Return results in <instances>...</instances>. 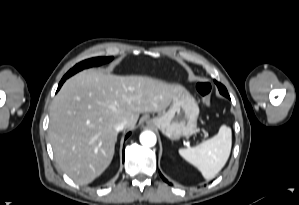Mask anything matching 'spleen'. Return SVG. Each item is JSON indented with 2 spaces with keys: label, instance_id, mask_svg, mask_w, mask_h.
Instances as JSON below:
<instances>
[{
  "label": "spleen",
  "instance_id": "1",
  "mask_svg": "<svg viewBox=\"0 0 299 205\" xmlns=\"http://www.w3.org/2000/svg\"><path fill=\"white\" fill-rule=\"evenodd\" d=\"M232 146L231 128L222 125L219 132L194 148L180 149L179 154L194 165L207 180L214 178L225 166Z\"/></svg>",
  "mask_w": 299,
  "mask_h": 205
}]
</instances>
